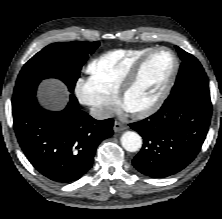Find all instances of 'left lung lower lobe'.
Here are the masks:
<instances>
[{
    "label": "left lung lower lobe",
    "instance_id": "1",
    "mask_svg": "<svg viewBox=\"0 0 222 219\" xmlns=\"http://www.w3.org/2000/svg\"><path fill=\"white\" fill-rule=\"evenodd\" d=\"M212 105L193 93L169 96L154 115L130 127L143 137L134 167L152 178L173 175L190 164L205 140Z\"/></svg>",
    "mask_w": 222,
    "mask_h": 219
}]
</instances>
